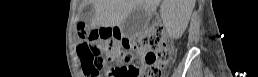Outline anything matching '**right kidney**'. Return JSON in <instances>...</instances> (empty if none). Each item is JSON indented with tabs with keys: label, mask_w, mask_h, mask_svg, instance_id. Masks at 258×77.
Returning a JSON list of instances; mask_svg holds the SVG:
<instances>
[{
	"label": "right kidney",
	"mask_w": 258,
	"mask_h": 77,
	"mask_svg": "<svg viewBox=\"0 0 258 77\" xmlns=\"http://www.w3.org/2000/svg\"><path fill=\"white\" fill-rule=\"evenodd\" d=\"M166 10H171L170 7H167ZM168 26V30H169V34L173 37V38H179L181 37V35L183 34L186 25H183L180 17L177 16L175 18H173L172 20H170L167 23Z\"/></svg>",
	"instance_id": "right-kidney-1"
}]
</instances>
